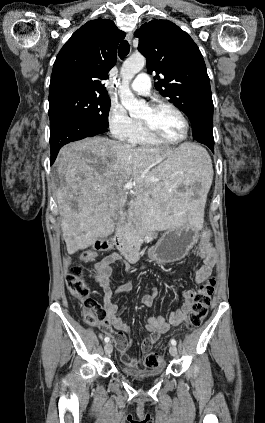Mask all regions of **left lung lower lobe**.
<instances>
[{
	"mask_svg": "<svg viewBox=\"0 0 265 423\" xmlns=\"http://www.w3.org/2000/svg\"><path fill=\"white\" fill-rule=\"evenodd\" d=\"M193 138L214 152L213 101L206 100L197 109L192 123Z\"/></svg>",
	"mask_w": 265,
	"mask_h": 423,
	"instance_id": "1",
	"label": "left lung lower lobe"
}]
</instances>
